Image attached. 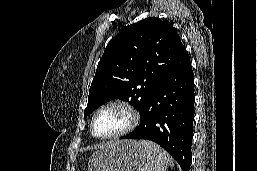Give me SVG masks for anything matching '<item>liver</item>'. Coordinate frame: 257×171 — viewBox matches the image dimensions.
<instances>
[{
  "mask_svg": "<svg viewBox=\"0 0 257 171\" xmlns=\"http://www.w3.org/2000/svg\"><path fill=\"white\" fill-rule=\"evenodd\" d=\"M114 145V143H108V144H105V145H102L100 146V149L104 148V147H107V146H112Z\"/></svg>",
  "mask_w": 257,
  "mask_h": 171,
  "instance_id": "1",
  "label": "liver"
}]
</instances>
